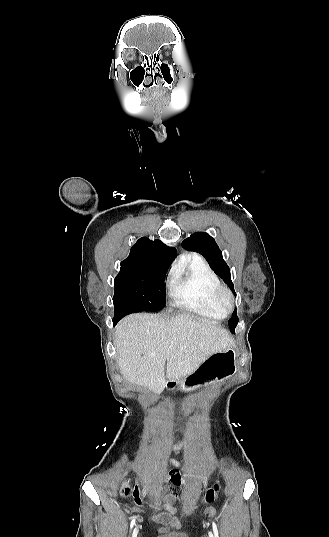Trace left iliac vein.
<instances>
[{
  "label": "left iliac vein",
  "mask_w": 329,
  "mask_h": 537,
  "mask_svg": "<svg viewBox=\"0 0 329 537\" xmlns=\"http://www.w3.org/2000/svg\"><path fill=\"white\" fill-rule=\"evenodd\" d=\"M208 537H214L211 531L208 532Z\"/></svg>",
  "instance_id": "1"
}]
</instances>
